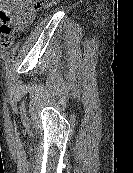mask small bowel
Returning <instances> with one entry per match:
<instances>
[{
    "label": "small bowel",
    "instance_id": "1",
    "mask_svg": "<svg viewBox=\"0 0 133 173\" xmlns=\"http://www.w3.org/2000/svg\"><path fill=\"white\" fill-rule=\"evenodd\" d=\"M0 10L12 15L17 30L25 29L34 17L32 0H0Z\"/></svg>",
    "mask_w": 133,
    "mask_h": 173
}]
</instances>
